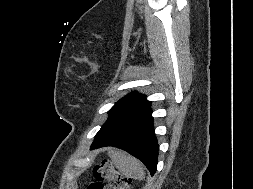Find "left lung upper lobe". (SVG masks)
<instances>
[{"instance_id": "obj_1", "label": "left lung upper lobe", "mask_w": 253, "mask_h": 189, "mask_svg": "<svg viewBox=\"0 0 253 189\" xmlns=\"http://www.w3.org/2000/svg\"><path fill=\"white\" fill-rule=\"evenodd\" d=\"M150 104L145 96L139 93H131L123 97L108 111L109 117L96 136L108 133L133 118L151 110Z\"/></svg>"}]
</instances>
